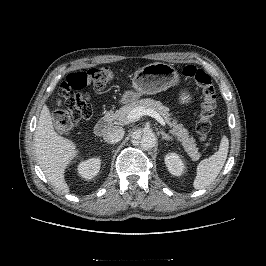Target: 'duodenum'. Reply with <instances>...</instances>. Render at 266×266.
<instances>
[{
  "label": "duodenum",
  "instance_id": "obj_1",
  "mask_svg": "<svg viewBox=\"0 0 266 266\" xmlns=\"http://www.w3.org/2000/svg\"><path fill=\"white\" fill-rule=\"evenodd\" d=\"M112 122V116H105L98 121L94 127V133L97 136H103L107 133V130Z\"/></svg>",
  "mask_w": 266,
  "mask_h": 266
}]
</instances>
